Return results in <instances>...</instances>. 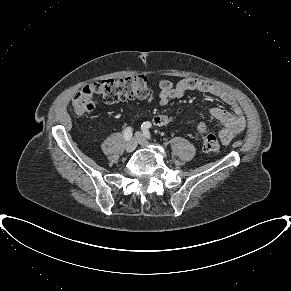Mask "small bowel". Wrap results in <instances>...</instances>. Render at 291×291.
<instances>
[{
  "mask_svg": "<svg viewBox=\"0 0 291 291\" xmlns=\"http://www.w3.org/2000/svg\"><path fill=\"white\" fill-rule=\"evenodd\" d=\"M188 91H199L214 95L230 107L231 111L221 108H212L209 111V114L223 125V129L218 133V137L223 144H229L238 134L244 131L246 121L234 96L219 85L205 80L185 78L176 85H172L166 80L162 81L160 83L159 104L164 106L171 100L180 99ZM152 100V97H150L147 103H151ZM187 123L192 125L195 124V121L188 120Z\"/></svg>",
  "mask_w": 291,
  "mask_h": 291,
  "instance_id": "1",
  "label": "small bowel"
}]
</instances>
